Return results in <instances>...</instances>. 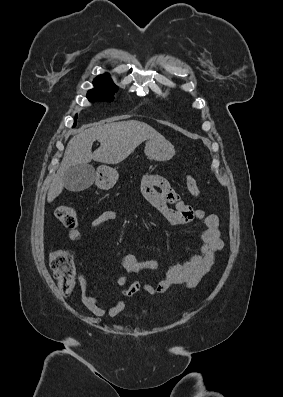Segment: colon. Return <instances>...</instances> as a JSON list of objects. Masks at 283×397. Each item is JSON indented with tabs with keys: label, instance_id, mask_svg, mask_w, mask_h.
I'll return each instance as SVG.
<instances>
[{
	"label": "colon",
	"instance_id": "1",
	"mask_svg": "<svg viewBox=\"0 0 283 397\" xmlns=\"http://www.w3.org/2000/svg\"><path fill=\"white\" fill-rule=\"evenodd\" d=\"M187 189L195 197L201 196V191L196 179L192 175H187ZM56 219L66 227H75L77 224L76 210L62 204L55 210ZM49 264L57 280L59 290L62 295L68 296L75 288V264L72 252L66 248L53 249L49 253Z\"/></svg>",
	"mask_w": 283,
	"mask_h": 397
}]
</instances>
